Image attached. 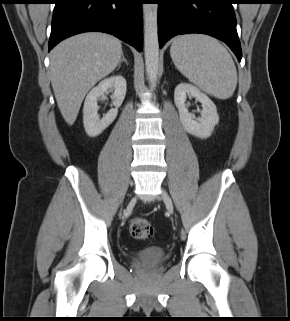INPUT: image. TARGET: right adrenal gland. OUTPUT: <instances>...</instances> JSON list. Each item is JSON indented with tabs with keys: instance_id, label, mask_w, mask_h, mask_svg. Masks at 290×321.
<instances>
[{
	"instance_id": "obj_1",
	"label": "right adrenal gland",
	"mask_w": 290,
	"mask_h": 321,
	"mask_svg": "<svg viewBox=\"0 0 290 321\" xmlns=\"http://www.w3.org/2000/svg\"><path fill=\"white\" fill-rule=\"evenodd\" d=\"M123 62H125V63H126V65H128V62H127V60L125 59L124 54H122V58H121V60H120V62H119V64H118L117 70H119V69H120L121 64H122Z\"/></svg>"
}]
</instances>
